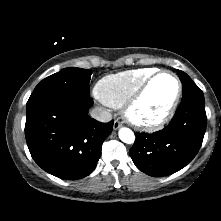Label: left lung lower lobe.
<instances>
[{
  "mask_svg": "<svg viewBox=\"0 0 221 221\" xmlns=\"http://www.w3.org/2000/svg\"><path fill=\"white\" fill-rule=\"evenodd\" d=\"M206 125L204 99L182 101L171 123L164 129L153 134H136L130 156L136 167L150 176L173 174L196 156Z\"/></svg>",
  "mask_w": 221,
  "mask_h": 221,
  "instance_id": "left-lung-lower-lobe-1",
  "label": "left lung lower lobe"
}]
</instances>
